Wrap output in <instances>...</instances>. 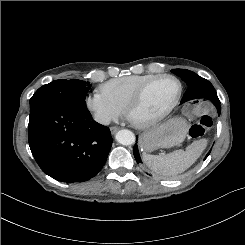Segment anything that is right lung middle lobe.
Listing matches in <instances>:
<instances>
[{"instance_id":"obj_1","label":"right lung middle lobe","mask_w":245,"mask_h":245,"mask_svg":"<svg viewBox=\"0 0 245 245\" xmlns=\"http://www.w3.org/2000/svg\"><path fill=\"white\" fill-rule=\"evenodd\" d=\"M91 85L82 80H55L40 87L30 99V110L45 103L87 109L85 98Z\"/></svg>"}]
</instances>
